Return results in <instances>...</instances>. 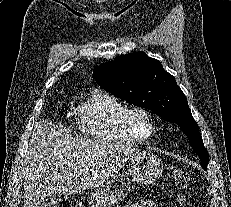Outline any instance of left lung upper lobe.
<instances>
[{
	"label": "left lung upper lobe",
	"instance_id": "obj_1",
	"mask_svg": "<svg viewBox=\"0 0 231 207\" xmlns=\"http://www.w3.org/2000/svg\"><path fill=\"white\" fill-rule=\"evenodd\" d=\"M98 84L117 98L150 109L163 119L176 123L189 138L207 170L209 155L187 99L175 78L161 63L144 52L121 55L93 70Z\"/></svg>",
	"mask_w": 231,
	"mask_h": 207
}]
</instances>
